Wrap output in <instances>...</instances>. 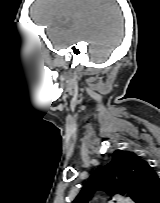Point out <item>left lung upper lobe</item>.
Masks as SVG:
<instances>
[{
    "label": "left lung upper lobe",
    "instance_id": "obj_1",
    "mask_svg": "<svg viewBox=\"0 0 160 203\" xmlns=\"http://www.w3.org/2000/svg\"><path fill=\"white\" fill-rule=\"evenodd\" d=\"M159 175L146 161L130 151L116 150L112 160L98 167L73 203H88L96 190L109 194L119 191L136 203H149Z\"/></svg>",
    "mask_w": 160,
    "mask_h": 203
}]
</instances>
